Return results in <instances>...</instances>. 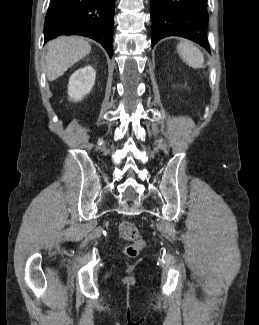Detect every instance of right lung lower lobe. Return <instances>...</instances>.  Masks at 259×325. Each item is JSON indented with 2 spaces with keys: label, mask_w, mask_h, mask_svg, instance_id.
Masks as SVG:
<instances>
[{
  "label": "right lung lower lobe",
  "mask_w": 259,
  "mask_h": 325,
  "mask_svg": "<svg viewBox=\"0 0 259 325\" xmlns=\"http://www.w3.org/2000/svg\"><path fill=\"white\" fill-rule=\"evenodd\" d=\"M114 0H51L45 17V41L59 35L92 38L113 50Z\"/></svg>",
  "instance_id": "1"
}]
</instances>
